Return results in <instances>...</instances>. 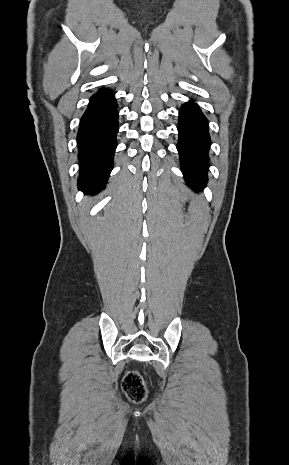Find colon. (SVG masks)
Masks as SVG:
<instances>
[{
	"mask_svg": "<svg viewBox=\"0 0 289 465\" xmlns=\"http://www.w3.org/2000/svg\"><path fill=\"white\" fill-rule=\"evenodd\" d=\"M122 387L128 397L135 402L143 400L146 396V388L137 371H130L126 374Z\"/></svg>",
	"mask_w": 289,
	"mask_h": 465,
	"instance_id": "1",
	"label": "colon"
}]
</instances>
